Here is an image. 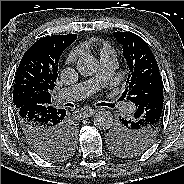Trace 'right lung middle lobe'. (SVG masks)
<instances>
[{
  "mask_svg": "<svg viewBox=\"0 0 184 184\" xmlns=\"http://www.w3.org/2000/svg\"><path fill=\"white\" fill-rule=\"evenodd\" d=\"M76 139V130L71 127L66 131L63 142L59 145L39 151L38 154L50 161H59L68 158L73 152Z\"/></svg>",
  "mask_w": 184,
  "mask_h": 184,
  "instance_id": "dd1d6c3e",
  "label": "right lung middle lobe"
}]
</instances>
